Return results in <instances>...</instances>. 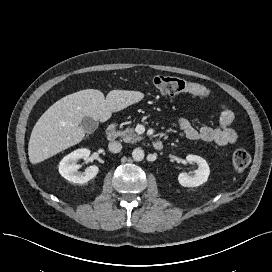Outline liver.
I'll return each mask as SVG.
<instances>
[{
    "label": "liver",
    "mask_w": 272,
    "mask_h": 272,
    "mask_svg": "<svg viewBox=\"0 0 272 272\" xmlns=\"http://www.w3.org/2000/svg\"><path fill=\"white\" fill-rule=\"evenodd\" d=\"M140 91L112 90L106 98L96 89H86L67 95L52 106L36 122L28 144L29 160L40 163L81 142L85 130L84 116L96 121H107L113 112L141 101Z\"/></svg>",
    "instance_id": "1"
}]
</instances>
